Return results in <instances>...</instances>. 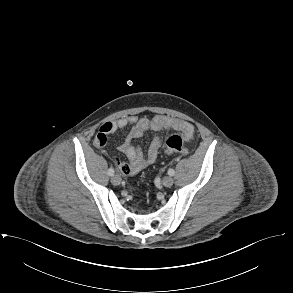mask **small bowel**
I'll use <instances>...</instances> for the list:
<instances>
[{"instance_id":"c3829d8e","label":"small bowel","mask_w":293,"mask_h":293,"mask_svg":"<svg viewBox=\"0 0 293 293\" xmlns=\"http://www.w3.org/2000/svg\"><path fill=\"white\" fill-rule=\"evenodd\" d=\"M129 126L132 127L130 132L118 147L128 158L129 163L122 162L117 157L113 158L120 173L125 176L135 175L156 161L161 144V138L158 135L159 132L172 129L180 132L187 140L191 141L194 137L193 126L184 120L166 115H156L151 119L130 115L117 120L104 122L94 138V145L97 148H103L107 143L109 135L124 130ZM147 132H153L155 134L146 154H143L139 148L132 145V141L143 137Z\"/></svg>"}]
</instances>
